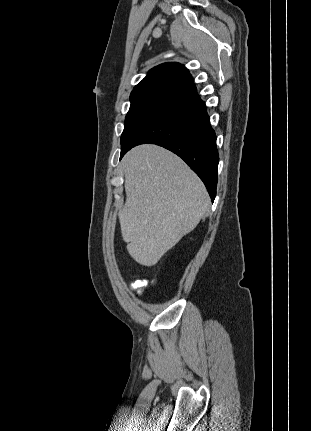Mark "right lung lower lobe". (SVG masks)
<instances>
[{"label": "right lung lower lobe", "mask_w": 311, "mask_h": 431, "mask_svg": "<svg viewBox=\"0 0 311 431\" xmlns=\"http://www.w3.org/2000/svg\"><path fill=\"white\" fill-rule=\"evenodd\" d=\"M145 143L157 144L181 157L201 178L214 201L219 162L216 135L197 92L180 98L145 123L121 150L120 158Z\"/></svg>", "instance_id": "obj_1"}]
</instances>
